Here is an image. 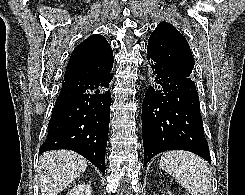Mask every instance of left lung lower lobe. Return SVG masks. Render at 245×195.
I'll return each instance as SVG.
<instances>
[{
    "label": "left lung lower lobe",
    "instance_id": "obj_1",
    "mask_svg": "<svg viewBox=\"0 0 245 195\" xmlns=\"http://www.w3.org/2000/svg\"><path fill=\"white\" fill-rule=\"evenodd\" d=\"M150 62L155 84L149 86L142 104L145 164L166 150L190 151L211 163L194 81Z\"/></svg>",
    "mask_w": 245,
    "mask_h": 195
}]
</instances>
